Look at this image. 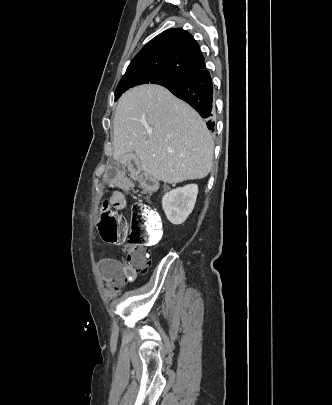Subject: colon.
<instances>
[{
    "label": "colon",
    "instance_id": "5ec220e1",
    "mask_svg": "<svg viewBox=\"0 0 332 405\" xmlns=\"http://www.w3.org/2000/svg\"><path fill=\"white\" fill-rule=\"evenodd\" d=\"M139 182L146 191H156L157 184L148 174H142ZM98 230L103 241L107 243L120 242L128 237L123 267L127 273L143 272L149 265L144 246L161 239L162 221L155 210L143 203L132 205L130 217L127 220L114 211L113 206L109 205V200H106L103 203Z\"/></svg>",
    "mask_w": 332,
    "mask_h": 405
}]
</instances>
